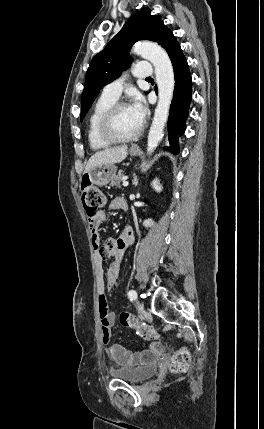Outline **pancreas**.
<instances>
[{"mask_svg":"<svg viewBox=\"0 0 264 429\" xmlns=\"http://www.w3.org/2000/svg\"><path fill=\"white\" fill-rule=\"evenodd\" d=\"M123 177V172L119 171L118 174L111 180L110 185L112 187L121 188V182L124 181Z\"/></svg>","mask_w":264,"mask_h":429,"instance_id":"1","label":"pancreas"}]
</instances>
